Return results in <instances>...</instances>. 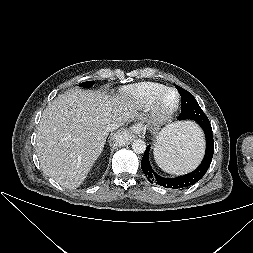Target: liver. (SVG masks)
Returning a JSON list of instances; mask_svg holds the SVG:
<instances>
[{
  "label": "liver",
  "mask_w": 253,
  "mask_h": 253,
  "mask_svg": "<svg viewBox=\"0 0 253 253\" xmlns=\"http://www.w3.org/2000/svg\"><path fill=\"white\" fill-rule=\"evenodd\" d=\"M135 116L123 96L70 90L49 103L36 133V152L44 173L67 189L86 179L100 156L112 124Z\"/></svg>",
  "instance_id": "6515ba94"
}]
</instances>
